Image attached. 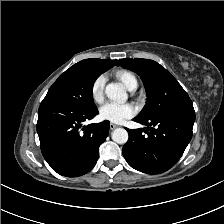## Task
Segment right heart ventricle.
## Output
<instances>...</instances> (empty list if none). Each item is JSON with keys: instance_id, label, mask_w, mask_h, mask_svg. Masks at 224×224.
I'll return each mask as SVG.
<instances>
[{"instance_id": "1", "label": "right heart ventricle", "mask_w": 224, "mask_h": 224, "mask_svg": "<svg viewBox=\"0 0 224 224\" xmlns=\"http://www.w3.org/2000/svg\"><path fill=\"white\" fill-rule=\"evenodd\" d=\"M116 77L129 89L134 85H137V79L133 73L127 70H118Z\"/></svg>"}]
</instances>
